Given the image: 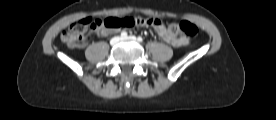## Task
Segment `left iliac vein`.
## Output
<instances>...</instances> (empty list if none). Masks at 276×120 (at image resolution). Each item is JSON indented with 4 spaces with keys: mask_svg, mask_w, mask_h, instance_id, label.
I'll use <instances>...</instances> for the list:
<instances>
[{
    "mask_svg": "<svg viewBox=\"0 0 276 120\" xmlns=\"http://www.w3.org/2000/svg\"><path fill=\"white\" fill-rule=\"evenodd\" d=\"M122 40H131V41H136V37L135 36H129V37H126V38H122Z\"/></svg>",
    "mask_w": 276,
    "mask_h": 120,
    "instance_id": "4c4485c4",
    "label": "left iliac vein"
}]
</instances>
